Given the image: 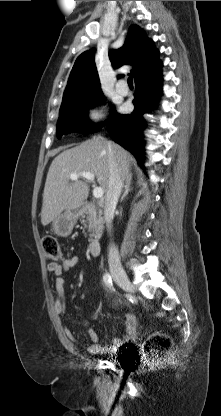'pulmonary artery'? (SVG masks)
Returning a JSON list of instances; mask_svg holds the SVG:
<instances>
[{"label": "pulmonary artery", "mask_w": 221, "mask_h": 416, "mask_svg": "<svg viewBox=\"0 0 221 416\" xmlns=\"http://www.w3.org/2000/svg\"><path fill=\"white\" fill-rule=\"evenodd\" d=\"M117 93H119L120 95H127L129 93V89L127 86L124 85L123 81H120L117 85L116 88Z\"/></svg>", "instance_id": "pulmonary-artery-1"}]
</instances>
